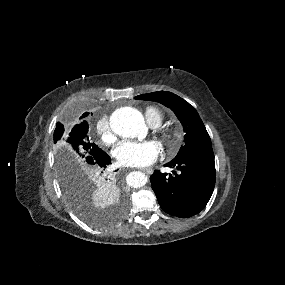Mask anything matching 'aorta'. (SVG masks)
<instances>
[{
    "instance_id": "aorta-1",
    "label": "aorta",
    "mask_w": 285,
    "mask_h": 285,
    "mask_svg": "<svg viewBox=\"0 0 285 285\" xmlns=\"http://www.w3.org/2000/svg\"><path fill=\"white\" fill-rule=\"evenodd\" d=\"M112 131L121 137L143 138L146 136L147 127L140 111L132 107H121L110 116ZM147 176L139 171L127 176V183L134 188L143 187L147 183Z\"/></svg>"
}]
</instances>
